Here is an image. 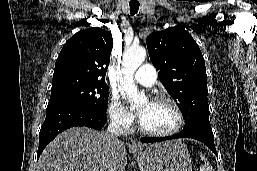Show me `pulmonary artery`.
I'll return each mask as SVG.
<instances>
[{"label":"pulmonary artery","mask_w":257,"mask_h":171,"mask_svg":"<svg viewBox=\"0 0 257 171\" xmlns=\"http://www.w3.org/2000/svg\"><path fill=\"white\" fill-rule=\"evenodd\" d=\"M134 79L141 85L150 87L155 84L157 80V72L151 64H143L134 74Z\"/></svg>","instance_id":"e3ab8cb5"}]
</instances>
